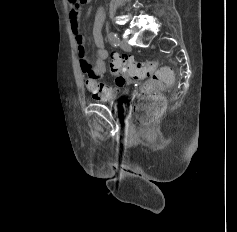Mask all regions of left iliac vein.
Segmentation results:
<instances>
[{
    "mask_svg": "<svg viewBox=\"0 0 237 232\" xmlns=\"http://www.w3.org/2000/svg\"><path fill=\"white\" fill-rule=\"evenodd\" d=\"M120 47L125 51H129L131 49L130 45L123 40L120 42Z\"/></svg>",
    "mask_w": 237,
    "mask_h": 232,
    "instance_id": "4c4485c4",
    "label": "left iliac vein"
}]
</instances>
